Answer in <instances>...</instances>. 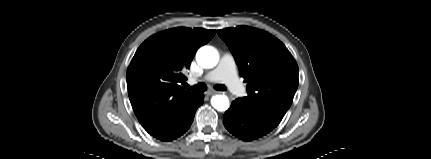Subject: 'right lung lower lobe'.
<instances>
[{
	"label": "right lung lower lobe",
	"instance_id": "right-lung-lower-lobe-1",
	"mask_svg": "<svg viewBox=\"0 0 431 159\" xmlns=\"http://www.w3.org/2000/svg\"><path fill=\"white\" fill-rule=\"evenodd\" d=\"M203 100L204 95L202 94L191 96L158 129L150 134L161 141H172L180 137L191 126L195 112Z\"/></svg>",
	"mask_w": 431,
	"mask_h": 159
}]
</instances>
